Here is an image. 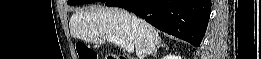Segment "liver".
<instances>
[{"instance_id": "obj_1", "label": "liver", "mask_w": 261, "mask_h": 59, "mask_svg": "<svg viewBox=\"0 0 261 59\" xmlns=\"http://www.w3.org/2000/svg\"><path fill=\"white\" fill-rule=\"evenodd\" d=\"M144 25L148 32L145 38L132 27L129 12L121 8L98 6L76 11L69 22L72 37L94 44H104L108 36L118 37L134 46L137 59H145L160 43L156 28L146 22Z\"/></svg>"}]
</instances>
